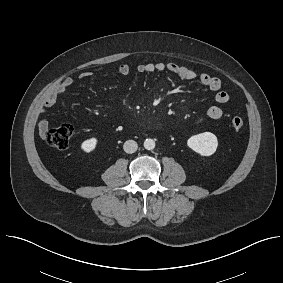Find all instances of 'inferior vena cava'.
Segmentation results:
<instances>
[{"label":"inferior vena cava","instance_id":"602c4592","mask_svg":"<svg viewBox=\"0 0 283 283\" xmlns=\"http://www.w3.org/2000/svg\"><path fill=\"white\" fill-rule=\"evenodd\" d=\"M137 148L138 145L134 140H127L123 145L124 151L128 154L136 152Z\"/></svg>","mask_w":283,"mask_h":283}]
</instances>
